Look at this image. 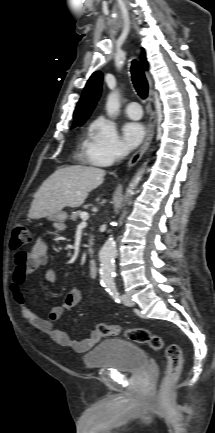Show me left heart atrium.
I'll return each mask as SVG.
<instances>
[{
  "instance_id": "1",
  "label": "left heart atrium",
  "mask_w": 215,
  "mask_h": 433,
  "mask_svg": "<svg viewBox=\"0 0 215 433\" xmlns=\"http://www.w3.org/2000/svg\"><path fill=\"white\" fill-rule=\"evenodd\" d=\"M145 136V128L137 122H129L123 126V138L125 145L129 148L138 146Z\"/></svg>"
}]
</instances>
